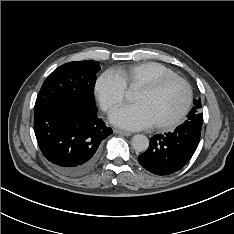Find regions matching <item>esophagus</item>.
<instances>
[{"label":"esophagus","mask_w":234,"mask_h":234,"mask_svg":"<svg viewBox=\"0 0 234 234\" xmlns=\"http://www.w3.org/2000/svg\"><path fill=\"white\" fill-rule=\"evenodd\" d=\"M114 132L116 134H121L123 136H131L132 135V133H130V132L119 130V129H114Z\"/></svg>","instance_id":"obj_1"}]
</instances>
